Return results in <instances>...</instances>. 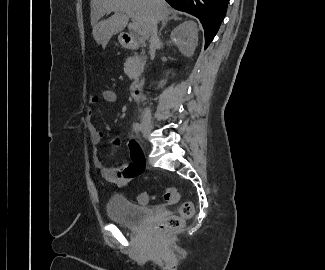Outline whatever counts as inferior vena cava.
I'll return each instance as SVG.
<instances>
[{
  "mask_svg": "<svg viewBox=\"0 0 325 270\" xmlns=\"http://www.w3.org/2000/svg\"><path fill=\"white\" fill-rule=\"evenodd\" d=\"M158 42V35H157V21L152 23L151 31H150V50L153 53L155 51L156 44ZM151 113L150 109H145L143 113V120L150 121Z\"/></svg>",
  "mask_w": 325,
  "mask_h": 270,
  "instance_id": "602c4592",
  "label": "inferior vena cava"
}]
</instances>
